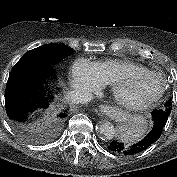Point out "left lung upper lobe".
Masks as SVG:
<instances>
[{
  "label": "left lung upper lobe",
  "instance_id": "left-lung-upper-lobe-1",
  "mask_svg": "<svg viewBox=\"0 0 177 177\" xmlns=\"http://www.w3.org/2000/svg\"><path fill=\"white\" fill-rule=\"evenodd\" d=\"M171 107H172V98H170L163 106L162 109H167L169 108L168 110L170 111L171 110Z\"/></svg>",
  "mask_w": 177,
  "mask_h": 177
}]
</instances>
